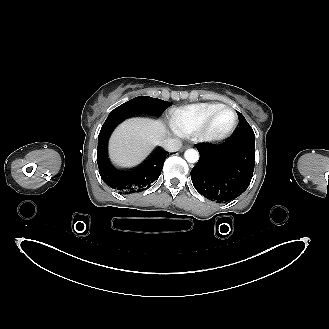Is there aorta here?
I'll return each instance as SVG.
<instances>
[{"mask_svg":"<svg viewBox=\"0 0 329 329\" xmlns=\"http://www.w3.org/2000/svg\"><path fill=\"white\" fill-rule=\"evenodd\" d=\"M184 157L189 163H196L199 160V153L195 149H187Z\"/></svg>","mask_w":329,"mask_h":329,"instance_id":"aorta-1","label":"aorta"}]
</instances>
